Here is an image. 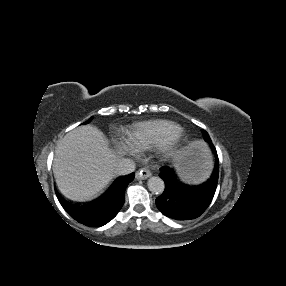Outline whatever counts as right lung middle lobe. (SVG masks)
I'll return each mask as SVG.
<instances>
[{
	"mask_svg": "<svg viewBox=\"0 0 286 286\" xmlns=\"http://www.w3.org/2000/svg\"><path fill=\"white\" fill-rule=\"evenodd\" d=\"M93 119V117H91L88 121H86L84 124L89 123L91 120Z\"/></svg>",
	"mask_w": 286,
	"mask_h": 286,
	"instance_id": "1",
	"label": "right lung middle lobe"
}]
</instances>
